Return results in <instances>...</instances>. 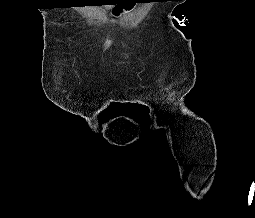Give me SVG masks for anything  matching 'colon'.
<instances>
[{"mask_svg":"<svg viewBox=\"0 0 255 218\" xmlns=\"http://www.w3.org/2000/svg\"><path fill=\"white\" fill-rule=\"evenodd\" d=\"M131 5H128V7H130ZM121 9L122 8H117L116 10H115V13H119L120 11H121Z\"/></svg>","mask_w":255,"mask_h":218,"instance_id":"1","label":"colon"}]
</instances>
